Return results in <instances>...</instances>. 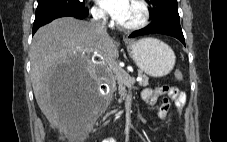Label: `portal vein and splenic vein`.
<instances>
[{
	"mask_svg": "<svg viewBox=\"0 0 227 142\" xmlns=\"http://www.w3.org/2000/svg\"><path fill=\"white\" fill-rule=\"evenodd\" d=\"M116 75L119 79L123 80L128 87H131L135 83V78L130 77L121 70H116ZM137 81H141V78H137Z\"/></svg>",
	"mask_w": 227,
	"mask_h": 142,
	"instance_id": "18ae733b",
	"label": "portal vein and splenic vein"
}]
</instances>
